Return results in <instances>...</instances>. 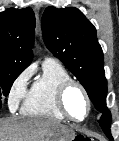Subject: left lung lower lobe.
<instances>
[{"label":"left lung lower lobe","instance_id":"obj_1","mask_svg":"<svg viewBox=\"0 0 119 141\" xmlns=\"http://www.w3.org/2000/svg\"><path fill=\"white\" fill-rule=\"evenodd\" d=\"M110 123H111V114L107 110L106 112L102 113V116L99 120V124L101 128L103 129L106 136L110 139V141H113V137L110 132Z\"/></svg>","mask_w":119,"mask_h":141}]
</instances>
